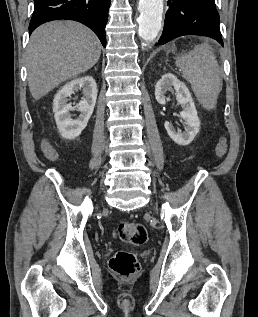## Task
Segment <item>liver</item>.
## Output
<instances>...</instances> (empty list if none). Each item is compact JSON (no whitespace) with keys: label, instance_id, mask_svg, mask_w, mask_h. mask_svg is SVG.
<instances>
[{"label":"liver","instance_id":"liver-1","mask_svg":"<svg viewBox=\"0 0 258 317\" xmlns=\"http://www.w3.org/2000/svg\"><path fill=\"white\" fill-rule=\"evenodd\" d=\"M96 34L74 20L45 22L32 32L26 48L29 90L41 98L57 84L85 72L99 60Z\"/></svg>","mask_w":258,"mask_h":317}]
</instances>
